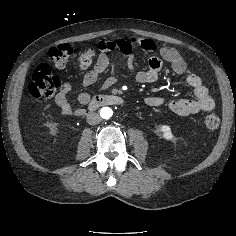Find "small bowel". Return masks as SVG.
<instances>
[{"instance_id":"small-bowel-1","label":"small bowel","mask_w":236,"mask_h":236,"mask_svg":"<svg viewBox=\"0 0 236 236\" xmlns=\"http://www.w3.org/2000/svg\"><path fill=\"white\" fill-rule=\"evenodd\" d=\"M136 46L141 47L145 52H158L157 56H153L148 61L145 70L136 71L135 80L139 83H153L157 81L160 71L165 62L171 65L173 71L178 75H185L187 83L191 86L195 99L177 98L168 103L169 109L180 116H191L201 112L211 111L215 107L214 99L209 95L208 89L202 83L199 76L190 73L187 69L185 60L181 57L177 50L170 47L159 48L157 44L150 39L130 38L115 40H103L98 43V56L94 66L85 72L82 79V86L89 87L97 82L100 75L106 71L110 64L108 53L111 51H119L127 58L128 68L134 70V53ZM117 82V77L112 75L106 78L100 86L105 90L112 87ZM72 86L65 82L61 86L59 92L55 96V103L60 108L61 113L66 116H80L83 109L72 105L68 99ZM90 96L87 93H81L78 96L80 104H87ZM145 103L150 107H158L164 103V99L158 96H148Z\"/></svg>"}]
</instances>
